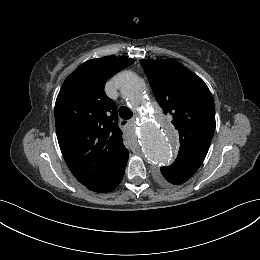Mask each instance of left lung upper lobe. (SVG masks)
I'll return each mask as SVG.
<instances>
[{
    "label": "left lung upper lobe",
    "mask_w": 260,
    "mask_h": 260,
    "mask_svg": "<svg viewBox=\"0 0 260 260\" xmlns=\"http://www.w3.org/2000/svg\"><path fill=\"white\" fill-rule=\"evenodd\" d=\"M157 102L172 116L178 130L180 149L174 163L164 171L195 173L203 163L215 131L212 95L195 73L175 59L140 60Z\"/></svg>",
    "instance_id": "left-lung-upper-lobe-1"
}]
</instances>
